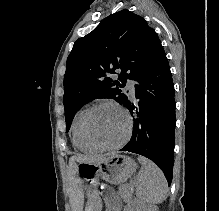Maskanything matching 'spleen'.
Listing matches in <instances>:
<instances>
[{
  "mask_svg": "<svg viewBox=\"0 0 219 211\" xmlns=\"http://www.w3.org/2000/svg\"><path fill=\"white\" fill-rule=\"evenodd\" d=\"M141 169L137 175L136 195L141 203H162L166 197L168 183L160 167L147 159L138 157Z\"/></svg>",
  "mask_w": 219,
  "mask_h": 211,
  "instance_id": "spleen-1",
  "label": "spleen"
}]
</instances>
